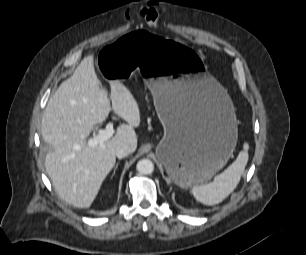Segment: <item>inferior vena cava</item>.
<instances>
[{
    "mask_svg": "<svg viewBox=\"0 0 306 255\" xmlns=\"http://www.w3.org/2000/svg\"><path fill=\"white\" fill-rule=\"evenodd\" d=\"M132 152H133V149L128 144H121L115 148V156L119 159L128 156Z\"/></svg>",
    "mask_w": 306,
    "mask_h": 255,
    "instance_id": "inferior-vena-cava-1",
    "label": "inferior vena cava"
}]
</instances>
